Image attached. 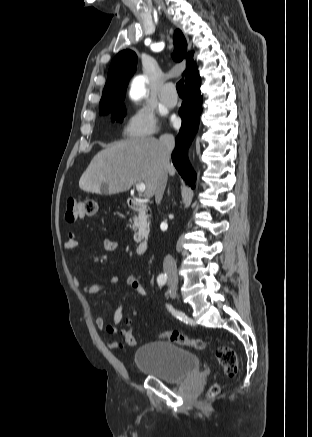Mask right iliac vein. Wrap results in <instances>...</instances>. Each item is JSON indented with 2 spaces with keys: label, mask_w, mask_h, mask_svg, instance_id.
<instances>
[{
  "label": "right iliac vein",
  "mask_w": 312,
  "mask_h": 437,
  "mask_svg": "<svg viewBox=\"0 0 312 437\" xmlns=\"http://www.w3.org/2000/svg\"><path fill=\"white\" fill-rule=\"evenodd\" d=\"M170 289L172 291L173 296L178 298V294H177V286L174 282H170Z\"/></svg>",
  "instance_id": "obj_1"
}]
</instances>
